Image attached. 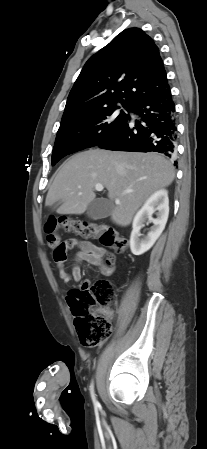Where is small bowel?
<instances>
[{
	"mask_svg": "<svg viewBox=\"0 0 207 449\" xmlns=\"http://www.w3.org/2000/svg\"><path fill=\"white\" fill-rule=\"evenodd\" d=\"M69 249L77 248L74 264L71 272L67 271L64 263H58L60 279L65 283L70 281L79 282L82 278L81 263L85 261L89 265L99 268L103 276H110L115 270V257L112 253L102 247L95 246L90 241L71 239ZM107 259L105 261L104 259Z\"/></svg>",
	"mask_w": 207,
	"mask_h": 449,
	"instance_id": "1",
	"label": "small bowel"
}]
</instances>
